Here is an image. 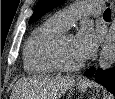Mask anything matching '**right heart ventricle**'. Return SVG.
Wrapping results in <instances>:
<instances>
[{
    "label": "right heart ventricle",
    "mask_w": 115,
    "mask_h": 99,
    "mask_svg": "<svg viewBox=\"0 0 115 99\" xmlns=\"http://www.w3.org/2000/svg\"><path fill=\"white\" fill-rule=\"evenodd\" d=\"M64 31L51 19L32 31L23 50L24 69L28 74L49 75L59 70L51 59V48Z\"/></svg>",
    "instance_id": "right-heart-ventricle-1"
}]
</instances>
